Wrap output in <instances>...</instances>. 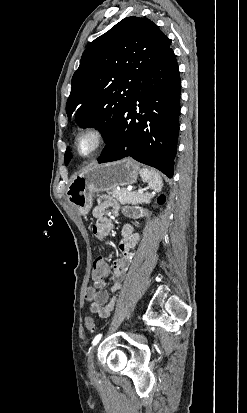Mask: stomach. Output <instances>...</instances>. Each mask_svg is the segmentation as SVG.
I'll return each instance as SVG.
<instances>
[{
    "label": "stomach",
    "mask_w": 247,
    "mask_h": 413,
    "mask_svg": "<svg viewBox=\"0 0 247 413\" xmlns=\"http://www.w3.org/2000/svg\"><path fill=\"white\" fill-rule=\"evenodd\" d=\"M139 168L132 158L116 162L89 164L73 176L67 186L66 196L70 204H75L80 215H88L93 202L94 192L112 190L115 186L133 184L138 178Z\"/></svg>",
    "instance_id": "0dacf381"
}]
</instances>
